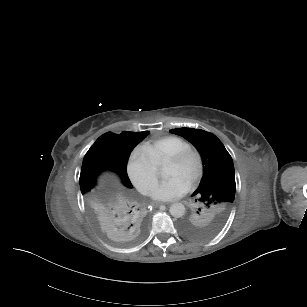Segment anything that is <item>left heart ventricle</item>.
<instances>
[{
  "label": "left heart ventricle",
  "instance_id": "obj_1",
  "mask_svg": "<svg viewBox=\"0 0 307 307\" xmlns=\"http://www.w3.org/2000/svg\"><path fill=\"white\" fill-rule=\"evenodd\" d=\"M198 166L199 156L197 153H192L182 163H173L168 161L166 171L168 176L178 175L188 181L190 177L197 171Z\"/></svg>",
  "mask_w": 307,
  "mask_h": 307
}]
</instances>
